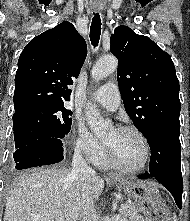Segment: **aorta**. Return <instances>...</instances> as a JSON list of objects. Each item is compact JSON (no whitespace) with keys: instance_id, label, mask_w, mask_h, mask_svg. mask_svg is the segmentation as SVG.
Instances as JSON below:
<instances>
[{"instance_id":"obj_1","label":"aorta","mask_w":190,"mask_h":221,"mask_svg":"<svg viewBox=\"0 0 190 221\" xmlns=\"http://www.w3.org/2000/svg\"><path fill=\"white\" fill-rule=\"evenodd\" d=\"M118 66V61L113 56H106L99 59L91 70V76L93 80L99 81L111 73L115 72ZM85 114L87 117L90 129L95 135L104 134L111 126L110 122L105 121L97 107L93 104H88L85 108Z\"/></svg>"}]
</instances>
